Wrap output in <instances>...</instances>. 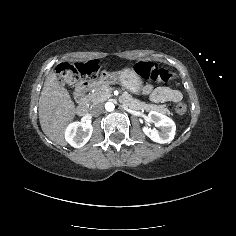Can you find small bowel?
Listing matches in <instances>:
<instances>
[{"label":"small bowel","instance_id":"obj_1","mask_svg":"<svg viewBox=\"0 0 236 236\" xmlns=\"http://www.w3.org/2000/svg\"><path fill=\"white\" fill-rule=\"evenodd\" d=\"M143 92L150 96V99L154 102L171 101L178 102L183 98L180 91L170 89L167 87L155 88L152 85L145 86Z\"/></svg>","mask_w":236,"mask_h":236}]
</instances>
